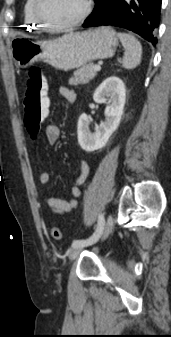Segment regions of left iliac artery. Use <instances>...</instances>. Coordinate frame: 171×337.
Instances as JSON below:
<instances>
[{"label":"left iliac artery","instance_id":"1","mask_svg":"<svg viewBox=\"0 0 171 337\" xmlns=\"http://www.w3.org/2000/svg\"><path fill=\"white\" fill-rule=\"evenodd\" d=\"M104 226H105L104 215L100 214L98 217V224H97V228L95 232L87 239L74 240L72 242V247L77 248V247H84L87 245L94 244L101 237L103 230H104Z\"/></svg>","mask_w":171,"mask_h":337}]
</instances>
